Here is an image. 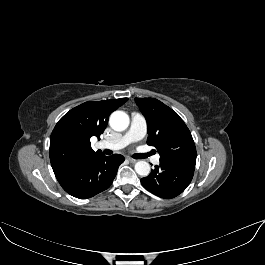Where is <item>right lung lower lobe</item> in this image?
Returning <instances> with one entry per match:
<instances>
[{"instance_id": "1", "label": "right lung lower lobe", "mask_w": 265, "mask_h": 265, "mask_svg": "<svg viewBox=\"0 0 265 265\" xmlns=\"http://www.w3.org/2000/svg\"><path fill=\"white\" fill-rule=\"evenodd\" d=\"M123 162L124 157L120 154L110 157L99 154L55 176L67 193L86 199L110 187Z\"/></svg>"}]
</instances>
